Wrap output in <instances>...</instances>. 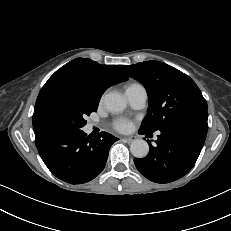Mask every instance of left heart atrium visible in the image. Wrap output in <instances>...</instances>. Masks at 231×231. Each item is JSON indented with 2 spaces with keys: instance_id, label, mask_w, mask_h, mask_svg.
<instances>
[{
  "instance_id": "1",
  "label": "left heart atrium",
  "mask_w": 231,
  "mask_h": 231,
  "mask_svg": "<svg viewBox=\"0 0 231 231\" xmlns=\"http://www.w3.org/2000/svg\"><path fill=\"white\" fill-rule=\"evenodd\" d=\"M113 127L121 132H126L131 129L132 122L127 118H117L112 123Z\"/></svg>"
}]
</instances>
